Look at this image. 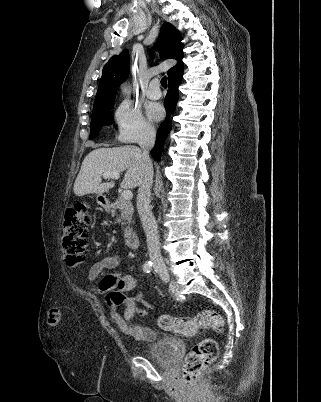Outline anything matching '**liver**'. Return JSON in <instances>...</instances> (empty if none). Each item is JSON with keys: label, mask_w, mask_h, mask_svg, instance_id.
Masks as SVG:
<instances>
[{"label": "liver", "mask_w": 321, "mask_h": 402, "mask_svg": "<svg viewBox=\"0 0 321 402\" xmlns=\"http://www.w3.org/2000/svg\"><path fill=\"white\" fill-rule=\"evenodd\" d=\"M144 170L142 151L134 145L96 148L83 160L73 190L76 196L101 195L115 185L114 181L102 183L103 173L123 171L121 187L136 188L141 185Z\"/></svg>", "instance_id": "liver-1"}]
</instances>
